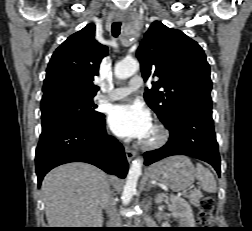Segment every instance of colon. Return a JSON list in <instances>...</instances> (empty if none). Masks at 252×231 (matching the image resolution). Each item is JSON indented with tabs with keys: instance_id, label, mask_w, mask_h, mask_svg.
I'll list each match as a JSON object with an SVG mask.
<instances>
[{
	"instance_id": "obj_1",
	"label": "colon",
	"mask_w": 252,
	"mask_h": 231,
	"mask_svg": "<svg viewBox=\"0 0 252 231\" xmlns=\"http://www.w3.org/2000/svg\"><path fill=\"white\" fill-rule=\"evenodd\" d=\"M214 210V200L210 196H204L199 201L198 223L202 226H208L211 222Z\"/></svg>"
}]
</instances>
